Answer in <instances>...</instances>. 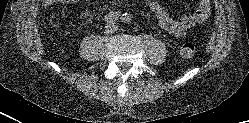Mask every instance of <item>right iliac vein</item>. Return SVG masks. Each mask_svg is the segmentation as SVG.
Masks as SVG:
<instances>
[{"instance_id": "right-iliac-vein-1", "label": "right iliac vein", "mask_w": 249, "mask_h": 123, "mask_svg": "<svg viewBox=\"0 0 249 123\" xmlns=\"http://www.w3.org/2000/svg\"><path fill=\"white\" fill-rule=\"evenodd\" d=\"M110 30H111L110 26L106 27V32H110Z\"/></svg>"}]
</instances>
